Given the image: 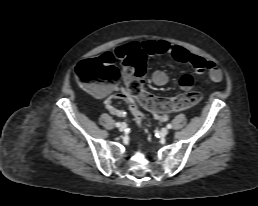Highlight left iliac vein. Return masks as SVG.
<instances>
[{
  "label": "left iliac vein",
  "mask_w": 258,
  "mask_h": 206,
  "mask_svg": "<svg viewBox=\"0 0 258 206\" xmlns=\"http://www.w3.org/2000/svg\"><path fill=\"white\" fill-rule=\"evenodd\" d=\"M168 132H169V131H168L167 128H162V129H161V135H162V136H166V135L168 134Z\"/></svg>",
  "instance_id": "obj_1"
}]
</instances>
